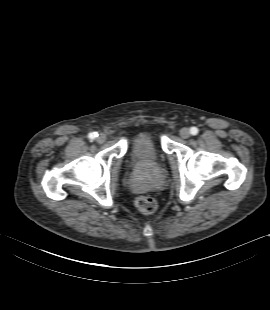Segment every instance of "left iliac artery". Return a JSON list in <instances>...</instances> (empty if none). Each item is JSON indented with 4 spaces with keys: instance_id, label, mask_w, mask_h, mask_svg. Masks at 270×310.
Returning <instances> with one entry per match:
<instances>
[{
    "instance_id": "left-iliac-artery-1",
    "label": "left iliac artery",
    "mask_w": 270,
    "mask_h": 310,
    "mask_svg": "<svg viewBox=\"0 0 270 310\" xmlns=\"http://www.w3.org/2000/svg\"><path fill=\"white\" fill-rule=\"evenodd\" d=\"M190 132H191L192 135H197V133H198V128L192 127V128L190 129Z\"/></svg>"
}]
</instances>
